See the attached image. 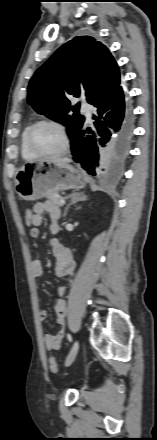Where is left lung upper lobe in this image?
<instances>
[{"label":"left lung upper lobe","mask_w":157,"mask_h":440,"mask_svg":"<svg viewBox=\"0 0 157 440\" xmlns=\"http://www.w3.org/2000/svg\"><path fill=\"white\" fill-rule=\"evenodd\" d=\"M119 86L120 70L107 47L93 37L78 36L35 72L28 85V103L38 113L65 124L71 139L84 117L78 114L80 104L71 106L68 97L85 95L93 105Z\"/></svg>","instance_id":"1"}]
</instances>
